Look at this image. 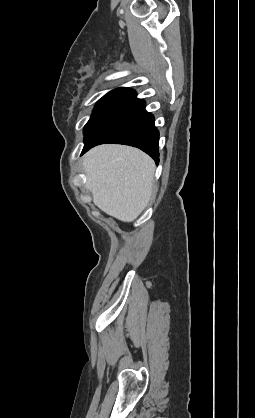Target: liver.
<instances>
[{"label": "liver", "instance_id": "liver-1", "mask_svg": "<svg viewBox=\"0 0 255 418\" xmlns=\"http://www.w3.org/2000/svg\"><path fill=\"white\" fill-rule=\"evenodd\" d=\"M86 188L94 204L124 222L134 221L145 209L153 190L154 161L139 149L100 145L83 159Z\"/></svg>", "mask_w": 255, "mask_h": 418}]
</instances>
